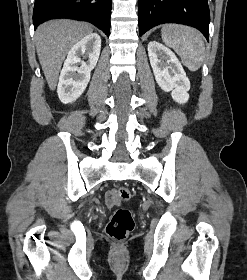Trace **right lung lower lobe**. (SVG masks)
I'll return each mask as SVG.
<instances>
[{
	"label": "right lung lower lobe",
	"mask_w": 247,
	"mask_h": 280,
	"mask_svg": "<svg viewBox=\"0 0 247 280\" xmlns=\"http://www.w3.org/2000/svg\"><path fill=\"white\" fill-rule=\"evenodd\" d=\"M111 4L112 0H35L34 28L49 19L71 18L89 21L109 36Z\"/></svg>",
	"instance_id": "1"
}]
</instances>
